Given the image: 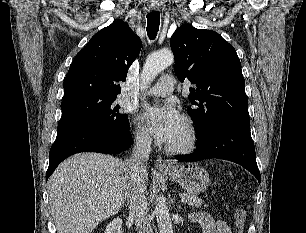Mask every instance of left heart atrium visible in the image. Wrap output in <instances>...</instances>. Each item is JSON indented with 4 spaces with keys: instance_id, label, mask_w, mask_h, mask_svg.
<instances>
[{
    "instance_id": "left-heart-atrium-1",
    "label": "left heart atrium",
    "mask_w": 306,
    "mask_h": 233,
    "mask_svg": "<svg viewBox=\"0 0 306 233\" xmlns=\"http://www.w3.org/2000/svg\"><path fill=\"white\" fill-rule=\"evenodd\" d=\"M143 120L149 131L166 143L174 138L184 122L180 113L171 104L148 109L143 114Z\"/></svg>"
}]
</instances>
